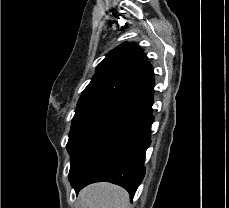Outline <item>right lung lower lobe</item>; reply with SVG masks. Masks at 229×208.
<instances>
[{
	"instance_id": "right-lung-lower-lobe-1",
	"label": "right lung lower lobe",
	"mask_w": 229,
	"mask_h": 208,
	"mask_svg": "<svg viewBox=\"0 0 229 208\" xmlns=\"http://www.w3.org/2000/svg\"><path fill=\"white\" fill-rule=\"evenodd\" d=\"M151 106L94 146L70 171L69 179L76 192L90 183L109 181L125 188L133 198L145 175L143 164L154 121Z\"/></svg>"
}]
</instances>
